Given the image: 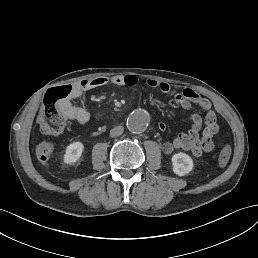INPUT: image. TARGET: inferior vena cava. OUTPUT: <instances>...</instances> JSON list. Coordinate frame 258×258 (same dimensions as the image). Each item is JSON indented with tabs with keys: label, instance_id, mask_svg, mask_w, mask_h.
Here are the masks:
<instances>
[{
	"label": "inferior vena cava",
	"instance_id": "inferior-vena-cava-1",
	"mask_svg": "<svg viewBox=\"0 0 258 258\" xmlns=\"http://www.w3.org/2000/svg\"><path fill=\"white\" fill-rule=\"evenodd\" d=\"M124 131L123 126H116L113 129L110 130V136L111 137H117L120 136Z\"/></svg>",
	"mask_w": 258,
	"mask_h": 258
}]
</instances>
